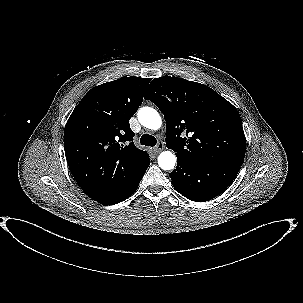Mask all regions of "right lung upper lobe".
Wrapping results in <instances>:
<instances>
[{
    "mask_svg": "<svg viewBox=\"0 0 303 303\" xmlns=\"http://www.w3.org/2000/svg\"><path fill=\"white\" fill-rule=\"evenodd\" d=\"M150 80L125 76L92 88L66 123L67 163L78 185L95 201L130 183L150 161L132 142L129 126Z\"/></svg>",
    "mask_w": 303,
    "mask_h": 303,
    "instance_id": "obj_1",
    "label": "right lung upper lobe"
}]
</instances>
